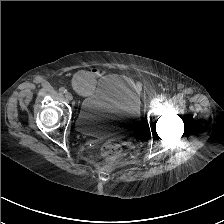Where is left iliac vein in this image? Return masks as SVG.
I'll return each mask as SVG.
<instances>
[{
  "label": "left iliac vein",
  "mask_w": 224,
  "mask_h": 224,
  "mask_svg": "<svg viewBox=\"0 0 224 224\" xmlns=\"http://www.w3.org/2000/svg\"><path fill=\"white\" fill-rule=\"evenodd\" d=\"M158 105V100L157 99H153L152 101H151V103H150V107L151 108H154V107H156Z\"/></svg>",
  "instance_id": "left-iliac-vein-1"
}]
</instances>
